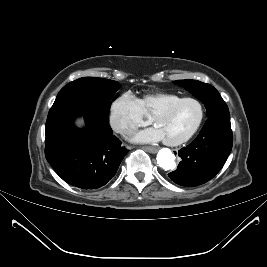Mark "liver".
I'll return each instance as SVG.
<instances>
[{
	"label": "liver",
	"mask_w": 267,
	"mask_h": 267,
	"mask_svg": "<svg viewBox=\"0 0 267 267\" xmlns=\"http://www.w3.org/2000/svg\"><path fill=\"white\" fill-rule=\"evenodd\" d=\"M75 124L77 127L81 128L84 126V121L82 118H77L76 121H75Z\"/></svg>",
	"instance_id": "1"
}]
</instances>
